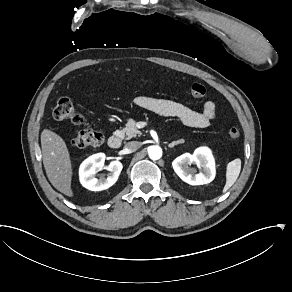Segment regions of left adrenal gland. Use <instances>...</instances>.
<instances>
[{"instance_id": "1", "label": "left adrenal gland", "mask_w": 292, "mask_h": 292, "mask_svg": "<svg viewBox=\"0 0 292 292\" xmlns=\"http://www.w3.org/2000/svg\"><path fill=\"white\" fill-rule=\"evenodd\" d=\"M180 143H184V140L180 139V140H177V141H173L172 143H170L168 145V147H174L175 145L180 144Z\"/></svg>"}]
</instances>
